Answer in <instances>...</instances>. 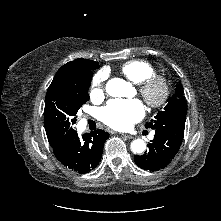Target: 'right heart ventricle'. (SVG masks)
Segmentation results:
<instances>
[{
  "instance_id": "obj_1",
  "label": "right heart ventricle",
  "mask_w": 221,
  "mask_h": 221,
  "mask_svg": "<svg viewBox=\"0 0 221 221\" xmlns=\"http://www.w3.org/2000/svg\"><path fill=\"white\" fill-rule=\"evenodd\" d=\"M121 72L132 82L139 84L155 74V68L147 61L132 60L121 67Z\"/></svg>"
}]
</instances>
